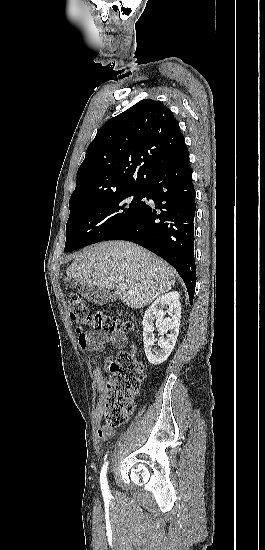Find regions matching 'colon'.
Segmentation results:
<instances>
[{
  "mask_svg": "<svg viewBox=\"0 0 265 550\" xmlns=\"http://www.w3.org/2000/svg\"><path fill=\"white\" fill-rule=\"evenodd\" d=\"M68 307L71 318L78 324L95 331L124 333L133 329L132 321L91 310L83 299L70 293ZM110 377L103 400L105 426L109 429L122 426L134 408V397L143 380V366L134 350H121L110 363Z\"/></svg>",
  "mask_w": 265,
  "mask_h": 550,
  "instance_id": "1",
  "label": "colon"
}]
</instances>
